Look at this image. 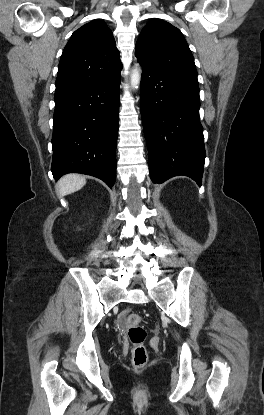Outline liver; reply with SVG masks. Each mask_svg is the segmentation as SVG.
Listing matches in <instances>:
<instances>
[{"label": "liver", "mask_w": 264, "mask_h": 415, "mask_svg": "<svg viewBox=\"0 0 264 415\" xmlns=\"http://www.w3.org/2000/svg\"><path fill=\"white\" fill-rule=\"evenodd\" d=\"M86 184V180L79 174H67L58 182V192L65 196L80 190Z\"/></svg>", "instance_id": "obj_1"}]
</instances>
